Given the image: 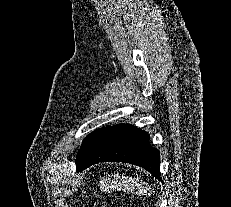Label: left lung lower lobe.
I'll list each match as a JSON object with an SVG mask.
<instances>
[{
	"label": "left lung lower lobe",
	"mask_w": 231,
	"mask_h": 207,
	"mask_svg": "<svg viewBox=\"0 0 231 207\" xmlns=\"http://www.w3.org/2000/svg\"><path fill=\"white\" fill-rule=\"evenodd\" d=\"M106 161L138 165L162 180L159 151L150 146L149 135L135 126L119 124L102 128L77 165V171Z\"/></svg>",
	"instance_id": "obj_1"
}]
</instances>
